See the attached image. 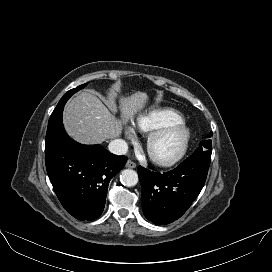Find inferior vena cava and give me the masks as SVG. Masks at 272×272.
<instances>
[{"label":"inferior vena cava","instance_id":"602c4592","mask_svg":"<svg viewBox=\"0 0 272 272\" xmlns=\"http://www.w3.org/2000/svg\"><path fill=\"white\" fill-rule=\"evenodd\" d=\"M109 151L116 155H125L128 151L127 143L122 139H115L109 143Z\"/></svg>","mask_w":272,"mask_h":272}]
</instances>
